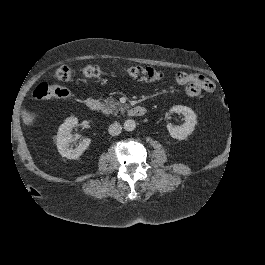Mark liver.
Listing matches in <instances>:
<instances>
[{"label":"liver","mask_w":265,"mask_h":265,"mask_svg":"<svg viewBox=\"0 0 265 265\" xmlns=\"http://www.w3.org/2000/svg\"><path fill=\"white\" fill-rule=\"evenodd\" d=\"M34 120V115L32 114H28V113H24L23 115V121L26 125H29L33 122Z\"/></svg>","instance_id":"6515ba94"}]
</instances>
